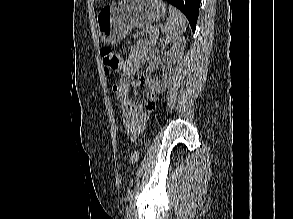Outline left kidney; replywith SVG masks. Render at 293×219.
Returning a JSON list of instances; mask_svg holds the SVG:
<instances>
[{
  "instance_id": "left-kidney-1",
  "label": "left kidney",
  "mask_w": 293,
  "mask_h": 219,
  "mask_svg": "<svg viewBox=\"0 0 293 219\" xmlns=\"http://www.w3.org/2000/svg\"><path fill=\"white\" fill-rule=\"evenodd\" d=\"M167 43L172 44V48L169 51L170 60L168 61L167 66L165 67V71L161 79L152 76L153 66L148 67L146 71L149 86L152 90L158 93L165 91L171 83L174 73L172 66L178 63L182 58L185 46L183 40L179 37L165 36L159 40V46L161 47L166 45Z\"/></svg>"
}]
</instances>
